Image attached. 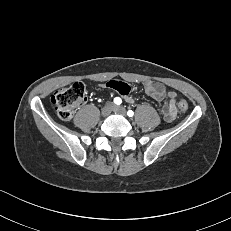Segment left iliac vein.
I'll list each match as a JSON object with an SVG mask.
<instances>
[{
	"label": "left iliac vein",
	"instance_id": "obj_1",
	"mask_svg": "<svg viewBox=\"0 0 231 231\" xmlns=\"http://www.w3.org/2000/svg\"><path fill=\"white\" fill-rule=\"evenodd\" d=\"M113 111L120 115H126V109L122 106H114Z\"/></svg>",
	"mask_w": 231,
	"mask_h": 231
}]
</instances>
